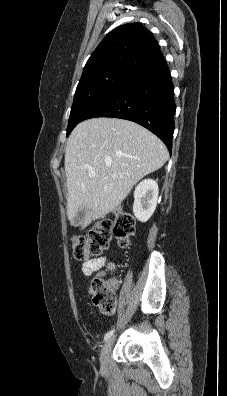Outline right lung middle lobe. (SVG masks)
Segmentation results:
<instances>
[{"label": "right lung middle lobe", "instance_id": "1", "mask_svg": "<svg viewBox=\"0 0 227 396\" xmlns=\"http://www.w3.org/2000/svg\"><path fill=\"white\" fill-rule=\"evenodd\" d=\"M131 72L132 70L125 68H109L80 79L71 108L67 136L83 120L85 114L116 88Z\"/></svg>", "mask_w": 227, "mask_h": 396}]
</instances>
